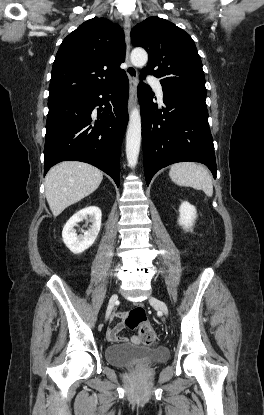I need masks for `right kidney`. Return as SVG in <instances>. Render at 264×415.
Instances as JSON below:
<instances>
[{
    "mask_svg": "<svg viewBox=\"0 0 264 415\" xmlns=\"http://www.w3.org/2000/svg\"><path fill=\"white\" fill-rule=\"evenodd\" d=\"M101 210L96 206L86 207L76 212L65 224L62 231V238L65 245L74 254H79L87 250L95 242L101 228ZM83 219H88L92 225L83 235H77L74 227Z\"/></svg>",
    "mask_w": 264,
    "mask_h": 415,
    "instance_id": "right-kidney-1",
    "label": "right kidney"
}]
</instances>
